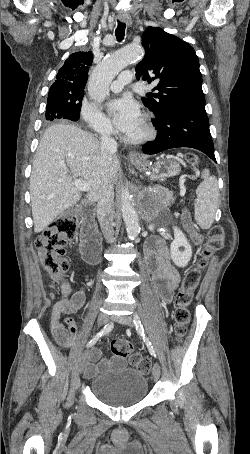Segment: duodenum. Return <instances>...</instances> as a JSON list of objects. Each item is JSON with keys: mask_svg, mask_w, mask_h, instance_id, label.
Listing matches in <instances>:
<instances>
[{"mask_svg": "<svg viewBox=\"0 0 250 454\" xmlns=\"http://www.w3.org/2000/svg\"><path fill=\"white\" fill-rule=\"evenodd\" d=\"M82 215V256L84 260L96 265L99 261L100 236L94 225V209L92 206H85L81 210Z\"/></svg>", "mask_w": 250, "mask_h": 454, "instance_id": "duodenum-1", "label": "duodenum"}]
</instances>
